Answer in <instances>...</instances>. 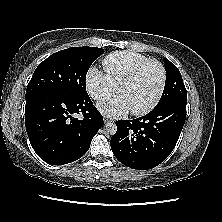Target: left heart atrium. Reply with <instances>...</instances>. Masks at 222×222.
Masks as SVG:
<instances>
[{
    "label": "left heart atrium",
    "mask_w": 222,
    "mask_h": 222,
    "mask_svg": "<svg viewBox=\"0 0 222 222\" xmlns=\"http://www.w3.org/2000/svg\"><path fill=\"white\" fill-rule=\"evenodd\" d=\"M98 109L108 117H120L130 111V108L121 94L112 96L98 104Z\"/></svg>",
    "instance_id": "1"
}]
</instances>
